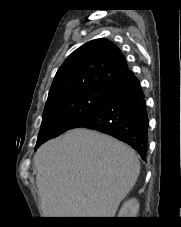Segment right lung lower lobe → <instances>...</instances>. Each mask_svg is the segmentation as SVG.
Here are the masks:
<instances>
[{"mask_svg": "<svg viewBox=\"0 0 181 227\" xmlns=\"http://www.w3.org/2000/svg\"><path fill=\"white\" fill-rule=\"evenodd\" d=\"M149 120L140 82L129 72L114 83L101 108L75 128L109 134L132 146L146 159Z\"/></svg>", "mask_w": 181, "mask_h": 227, "instance_id": "obj_1", "label": "right lung lower lobe"}]
</instances>
